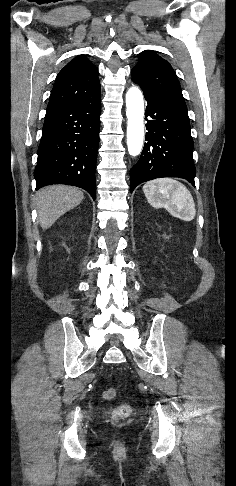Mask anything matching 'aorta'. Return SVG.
I'll list each match as a JSON object with an SVG mask.
<instances>
[{
    "label": "aorta",
    "mask_w": 236,
    "mask_h": 486,
    "mask_svg": "<svg viewBox=\"0 0 236 486\" xmlns=\"http://www.w3.org/2000/svg\"><path fill=\"white\" fill-rule=\"evenodd\" d=\"M127 146L128 152L135 157L140 154L144 138V101L137 87L126 93Z\"/></svg>",
    "instance_id": "aorta-1"
}]
</instances>
